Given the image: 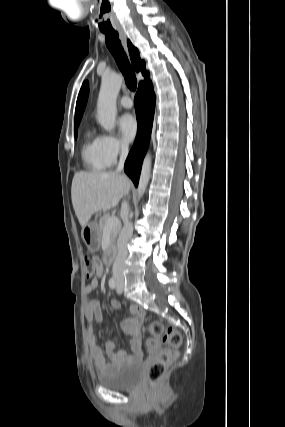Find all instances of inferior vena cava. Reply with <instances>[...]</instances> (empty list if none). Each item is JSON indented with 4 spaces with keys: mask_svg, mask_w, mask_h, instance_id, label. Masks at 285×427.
<instances>
[{
    "mask_svg": "<svg viewBox=\"0 0 285 427\" xmlns=\"http://www.w3.org/2000/svg\"><path fill=\"white\" fill-rule=\"evenodd\" d=\"M128 155V146H121V154L119 159V164L116 169L117 173L123 171L124 163ZM128 193V192H127ZM129 208L127 203L124 201L121 206V216L124 222V226L119 234L118 238V253L113 264V274L122 275L125 261L128 255L127 244L133 233V226L128 219Z\"/></svg>",
    "mask_w": 285,
    "mask_h": 427,
    "instance_id": "inferior-vena-cava-1",
    "label": "inferior vena cava"
}]
</instances>
